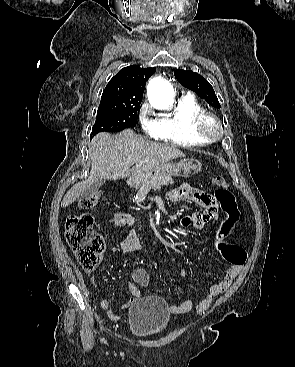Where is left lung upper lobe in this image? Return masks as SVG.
Masks as SVG:
<instances>
[{
    "mask_svg": "<svg viewBox=\"0 0 295 367\" xmlns=\"http://www.w3.org/2000/svg\"><path fill=\"white\" fill-rule=\"evenodd\" d=\"M174 74L176 79L184 87L194 91L198 96L203 98L212 107L220 108V104L213 90V87L203 76L190 70L181 69H177Z\"/></svg>",
    "mask_w": 295,
    "mask_h": 367,
    "instance_id": "obj_1",
    "label": "left lung upper lobe"
}]
</instances>
